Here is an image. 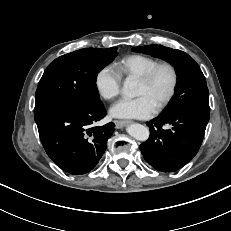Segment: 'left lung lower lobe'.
<instances>
[{
    "label": "left lung lower lobe",
    "instance_id": "obj_1",
    "mask_svg": "<svg viewBox=\"0 0 231 231\" xmlns=\"http://www.w3.org/2000/svg\"><path fill=\"white\" fill-rule=\"evenodd\" d=\"M208 121L209 114L191 109L160 114L147 122L150 137L140 145L144 159L161 172L182 168L197 154Z\"/></svg>",
    "mask_w": 231,
    "mask_h": 231
}]
</instances>
